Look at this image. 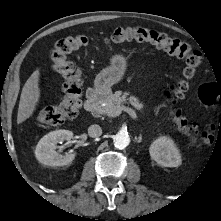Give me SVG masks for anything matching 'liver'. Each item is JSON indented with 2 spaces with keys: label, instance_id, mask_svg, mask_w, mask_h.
<instances>
[{
  "label": "liver",
  "instance_id": "liver-1",
  "mask_svg": "<svg viewBox=\"0 0 221 221\" xmlns=\"http://www.w3.org/2000/svg\"><path fill=\"white\" fill-rule=\"evenodd\" d=\"M39 77L40 71L37 69L32 73L23 86L17 114L18 124L27 120L36 108L40 98Z\"/></svg>",
  "mask_w": 221,
  "mask_h": 221
}]
</instances>
